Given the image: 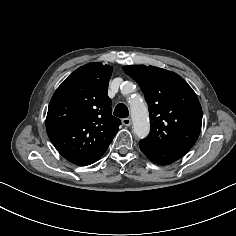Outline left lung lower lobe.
<instances>
[{
	"label": "left lung lower lobe",
	"mask_w": 236,
	"mask_h": 236,
	"mask_svg": "<svg viewBox=\"0 0 236 236\" xmlns=\"http://www.w3.org/2000/svg\"><path fill=\"white\" fill-rule=\"evenodd\" d=\"M139 147L148 159L160 165L171 164L190 150V148L155 147L142 142L139 143Z\"/></svg>",
	"instance_id": "obj_1"
}]
</instances>
